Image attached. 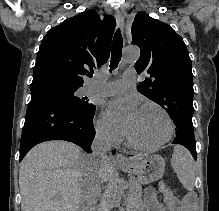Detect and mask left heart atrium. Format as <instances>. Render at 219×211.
Here are the masks:
<instances>
[{
  "mask_svg": "<svg viewBox=\"0 0 219 211\" xmlns=\"http://www.w3.org/2000/svg\"><path fill=\"white\" fill-rule=\"evenodd\" d=\"M139 107L133 97H125L110 101L106 104V115L113 120L120 121L127 128L138 113Z\"/></svg>",
  "mask_w": 219,
  "mask_h": 211,
  "instance_id": "39dd6f15",
  "label": "left heart atrium"
}]
</instances>
